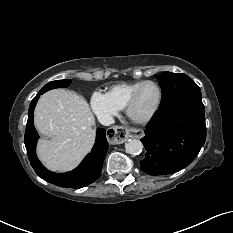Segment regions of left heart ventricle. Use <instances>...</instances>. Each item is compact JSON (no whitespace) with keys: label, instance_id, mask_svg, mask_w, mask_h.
<instances>
[{"label":"left heart ventricle","instance_id":"1","mask_svg":"<svg viewBox=\"0 0 233 233\" xmlns=\"http://www.w3.org/2000/svg\"><path fill=\"white\" fill-rule=\"evenodd\" d=\"M158 90L154 85H146L140 92L134 108L135 114L142 116L150 112L156 105Z\"/></svg>","mask_w":233,"mask_h":233}]
</instances>
